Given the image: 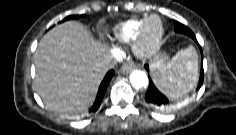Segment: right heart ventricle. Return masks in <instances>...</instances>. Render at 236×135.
I'll return each mask as SVG.
<instances>
[{"label":"right heart ventricle","mask_w":236,"mask_h":135,"mask_svg":"<svg viewBox=\"0 0 236 135\" xmlns=\"http://www.w3.org/2000/svg\"><path fill=\"white\" fill-rule=\"evenodd\" d=\"M145 17L132 18L116 24L111 39L118 44H129L136 38Z\"/></svg>","instance_id":"1"}]
</instances>
